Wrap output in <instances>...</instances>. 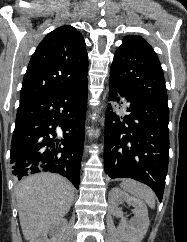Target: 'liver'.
<instances>
[{
	"label": "liver",
	"instance_id": "1",
	"mask_svg": "<svg viewBox=\"0 0 187 242\" xmlns=\"http://www.w3.org/2000/svg\"><path fill=\"white\" fill-rule=\"evenodd\" d=\"M73 198L72 184L60 175L38 173L21 180L16 199L25 239L34 242L39 234L65 216Z\"/></svg>",
	"mask_w": 187,
	"mask_h": 242
}]
</instances>
